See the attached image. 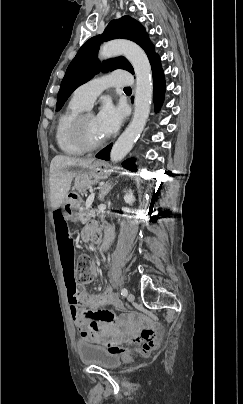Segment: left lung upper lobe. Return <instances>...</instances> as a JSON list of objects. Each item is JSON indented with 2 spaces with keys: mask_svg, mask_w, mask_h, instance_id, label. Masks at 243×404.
Listing matches in <instances>:
<instances>
[{
  "mask_svg": "<svg viewBox=\"0 0 243 404\" xmlns=\"http://www.w3.org/2000/svg\"><path fill=\"white\" fill-rule=\"evenodd\" d=\"M116 38L129 39L140 45L146 52L150 62L158 56L144 27L138 21L130 16H123L111 21L102 35L92 37L82 45L68 66L57 97V111L61 109L77 87L89 81L100 70L108 72L115 69H124L134 73L132 65L123 56L104 61L102 65L98 61L97 53L100 43Z\"/></svg>",
  "mask_w": 243,
  "mask_h": 404,
  "instance_id": "left-lung-upper-lobe-1",
  "label": "left lung upper lobe"
}]
</instances>
